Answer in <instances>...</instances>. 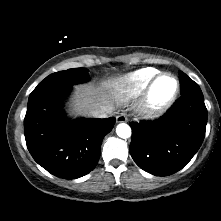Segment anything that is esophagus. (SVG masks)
<instances>
[{
  "instance_id": "obj_1",
  "label": "esophagus",
  "mask_w": 221,
  "mask_h": 221,
  "mask_svg": "<svg viewBox=\"0 0 221 221\" xmlns=\"http://www.w3.org/2000/svg\"><path fill=\"white\" fill-rule=\"evenodd\" d=\"M127 121H128V118H127V115L125 113H120L116 117V122L117 123H123V122H127Z\"/></svg>"
}]
</instances>
